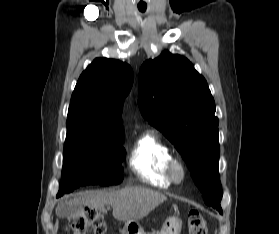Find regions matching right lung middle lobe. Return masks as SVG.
<instances>
[{
	"label": "right lung middle lobe",
	"instance_id": "1",
	"mask_svg": "<svg viewBox=\"0 0 279 234\" xmlns=\"http://www.w3.org/2000/svg\"><path fill=\"white\" fill-rule=\"evenodd\" d=\"M62 178L57 197L83 185L122 182L124 135H100L83 121H67Z\"/></svg>",
	"mask_w": 279,
	"mask_h": 234
}]
</instances>
